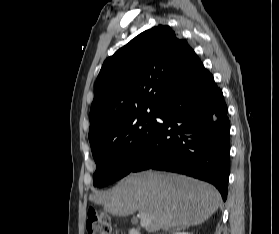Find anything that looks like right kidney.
Here are the masks:
<instances>
[{
  "instance_id": "1",
  "label": "right kidney",
  "mask_w": 279,
  "mask_h": 234,
  "mask_svg": "<svg viewBox=\"0 0 279 234\" xmlns=\"http://www.w3.org/2000/svg\"><path fill=\"white\" fill-rule=\"evenodd\" d=\"M173 234H192V233H188V232H176V233H173Z\"/></svg>"
}]
</instances>
